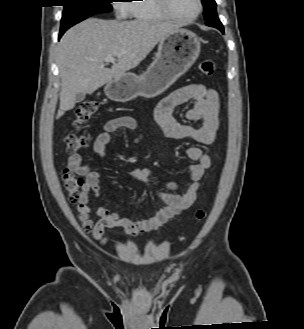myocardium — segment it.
<instances>
[{
	"label": "myocardium",
	"instance_id": "myocardium-1",
	"mask_svg": "<svg viewBox=\"0 0 304 329\" xmlns=\"http://www.w3.org/2000/svg\"><path fill=\"white\" fill-rule=\"evenodd\" d=\"M159 7L161 8V10L165 13V15L172 19V20H176V21H181V22H190L193 20H196L201 13L203 12V1L202 0H197L198 2V10L197 12L190 17H184V16H180L175 14L170 6V0H157Z\"/></svg>",
	"mask_w": 304,
	"mask_h": 329
}]
</instances>
